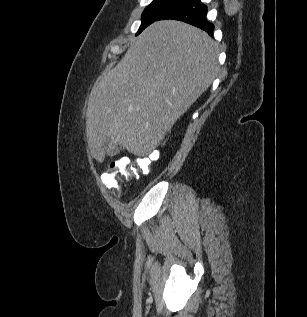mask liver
<instances>
[{
    "label": "liver",
    "instance_id": "liver-1",
    "mask_svg": "<svg viewBox=\"0 0 307 317\" xmlns=\"http://www.w3.org/2000/svg\"><path fill=\"white\" fill-rule=\"evenodd\" d=\"M218 47L201 29L164 20L147 27L89 95L86 134L92 155L122 146L147 156L211 85Z\"/></svg>",
    "mask_w": 307,
    "mask_h": 317
}]
</instances>
